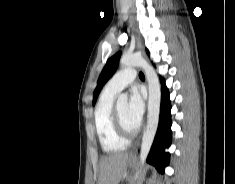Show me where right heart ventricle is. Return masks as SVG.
I'll use <instances>...</instances> for the list:
<instances>
[{
    "mask_svg": "<svg viewBox=\"0 0 235 184\" xmlns=\"http://www.w3.org/2000/svg\"><path fill=\"white\" fill-rule=\"evenodd\" d=\"M113 99L114 95L104 92L94 111V127L98 140L103 151L110 155L121 152L128 146V141L122 139L114 127Z\"/></svg>",
    "mask_w": 235,
    "mask_h": 184,
    "instance_id": "right-heart-ventricle-1",
    "label": "right heart ventricle"
}]
</instances>
